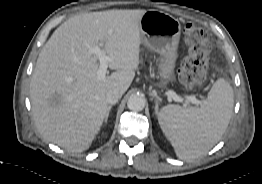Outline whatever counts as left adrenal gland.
<instances>
[{"label": "left adrenal gland", "instance_id": "a2214340", "mask_svg": "<svg viewBox=\"0 0 262 184\" xmlns=\"http://www.w3.org/2000/svg\"><path fill=\"white\" fill-rule=\"evenodd\" d=\"M158 108H159V103H158V101L156 100V106H155V112H156V114L158 113Z\"/></svg>", "mask_w": 262, "mask_h": 184}]
</instances>
